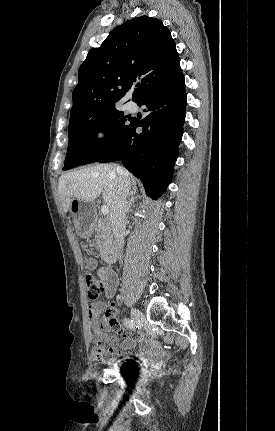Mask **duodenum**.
Returning a JSON list of instances; mask_svg holds the SVG:
<instances>
[{"label":"duodenum","instance_id":"1","mask_svg":"<svg viewBox=\"0 0 275 431\" xmlns=\"http://www.w3.org/2000/svg\"><path fill=\"white\" fill-rule=\"evenodd\" d=\"M108 226V223H105ZM102 259L107 263H115L119 257V248L115 241H110L101 250Z\"/></svg>","mask_w":275,"mask_h":431}]
</instances>
